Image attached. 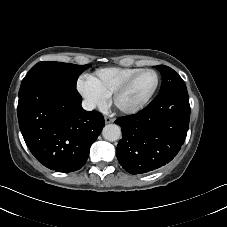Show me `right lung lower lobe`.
Returning a JSON list of instances; mask_svg holds the SVG:
<instances>
[{
    "label": "right lung lower lobe",
    "mask_w": 227,
    "mask_h": 227,
    "mask_svg": "<svg viewBox=\"0 0 227 227\" xmlns=\"http://www.w3.org/2000/svg\"><path fill=\"white\" fill-rule=\"evenodd\" d=\"M76 90L39 78L20 87L18 121L31 153L56 172H73L86 163L90 147L105 126L103 116L87 112Z\"/></svg>",
    "instance_id": "98d812e1"
}]
</instances>
